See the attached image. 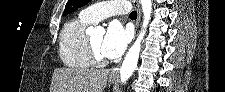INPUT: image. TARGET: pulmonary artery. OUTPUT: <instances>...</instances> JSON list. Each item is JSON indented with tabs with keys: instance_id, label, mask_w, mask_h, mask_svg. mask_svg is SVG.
<instances>
[{
	"instance_id": "1",
	"label": "pulmonary artery",
	"mask_w": 225,
	"mask_h": 92,
	"mask_svg": "<svg viewBox=\"0 0 225 92\" xmlns=\"http://www.w3.org/2000/svg\"><path fill=\"white\" fill-rule=\"evenodd\" d=\"M129 8L128 2H100L85 8L81 16L91 23H97L113 14H122Z\"/></svg>"
}]
</instances>
